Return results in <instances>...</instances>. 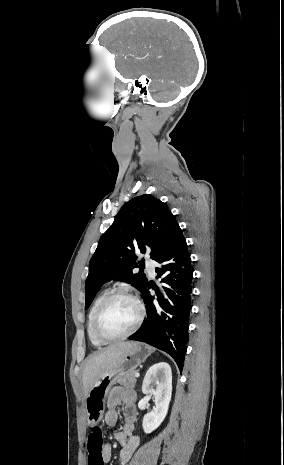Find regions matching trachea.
<instances>
[{
    "label": "trachea",
    "mask_w": 284,
    "mask_h": 465,
    "mask_svg": "<svg viewBox=\"0 0 284 465\" xmlns=\"http://www.w3.org/2000/svg\"><path fill=\"white\" fill-rule=\"evenodd\" d=\"M140 270H142V271H143V270H144V267H140Z\"/></svg>",
    "instance_id": "3493384b"
}]
</instances>
